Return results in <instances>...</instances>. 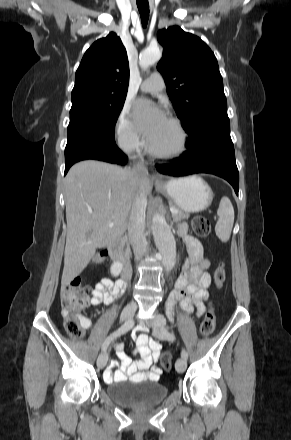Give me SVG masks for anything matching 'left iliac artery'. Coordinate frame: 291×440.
Wrapping results in <instances>:
<instances>
[{
	"mask_svg": "<svg viewBox=\"0 0 291 440\" xmlns=\"http://www.w3.org/2000/svg\"><path fill=\"white\" fill-rule=\"evenodd\" d=\"M163 334H164V337H165L166 339H168V340H175V335H174V333H170V332L164 331ZM181 356H182L184 359L187 360V358H188V353H187V351H186L185 349L182 350V352H181Z\"/></svg>",
	"mask_w": 291,
	"mask_h": 440,
	"instance_id": "44dca946",
	"label": "left iliac artery"
}]
</instances>
